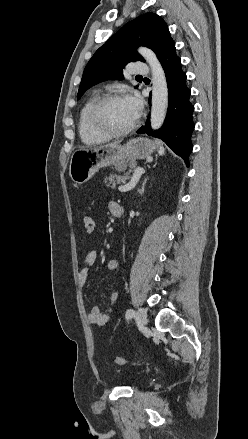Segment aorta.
<instances>
[{"label": "aorta", "mask_w": 248, "mask_h": 439, "mask_svg": "<svg viewBox=\"0 0 248 439\" xmlns=\"http://www.w3.org/2000/svg\"><path fill=\"white\" fill-rule=\"evenodd\" d=\"M152 73L151 127L158 129L164 122L168 107V88L164 70L156 55L148 48H139Z\"/></svg>", "instance_id": "1"}]
</instances>
